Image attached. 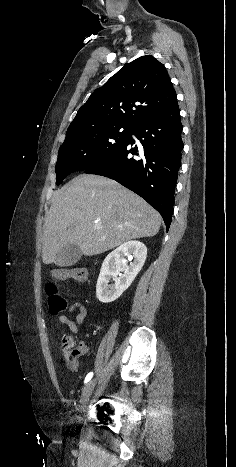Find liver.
Listing matches in <instances>:
<instances>
[{
  "instance_id": "1",
  "label": "liver",
  "mask_w": 236,
  "mask_h": 467,
  "mask_svg": "<svg viewBox=\"0 0 236 467\" xmlns=\"http://www.w3.org/2000/svg\"><path fill=\"white\" fill-rule=\"evenodd\" d=\"M160 226L159 214L134 192L109 178L81 174L54 193L44 225L43 263L55 262L67 244L93 256L155 236Z\"/></svg>"
}]
</instances>
